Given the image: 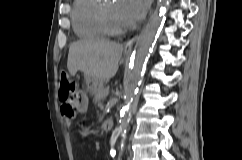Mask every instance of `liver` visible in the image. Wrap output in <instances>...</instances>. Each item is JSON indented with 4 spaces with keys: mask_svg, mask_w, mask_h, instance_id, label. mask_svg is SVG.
Returning <instances> with one entry per match:
<instances>
[{
    "mask_svg": "<svg viewBox=\"0 0 242 160\" xmlns=\"http://www.w3.org/2000/svg\"><path fill=\"white\" fill-rule=\"evenodd\" d=\"M123 46L107 40H80L69 48L67 68L74 76L82 71L85 77L100 81L115 76L122 56Z\"/></svg>",
    "mask_w": 242,
    "mask_h": 160,
    "instance_id": "6515ba94",
    "label": "liver"
}]
</instances>
